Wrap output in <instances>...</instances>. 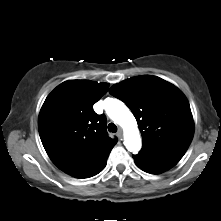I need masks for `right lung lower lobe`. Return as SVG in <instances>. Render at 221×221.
Returning <instances> with one entry per match:
<instances>
[{"label": "right lung lower lobe", "instance_id": "1", "mask_svg": "<svg viewBox=\"0 0 221 221\" xmlns=\"http://www.w3.org/2000/svg\"><path fill=\"white\" fill-rule=\"evenodd\" d=\"M107 163V158L102 161L101 163H99L98 165H96L95 167L89 169V170H85L83 172H79V173H76L74 175H71L73 177H76V178H89V177H92L96 174H98L100 171L103 170V168L105 167Z\"/></svg>", "mask_w": 221, "mask_h": 221}]
</instances>
